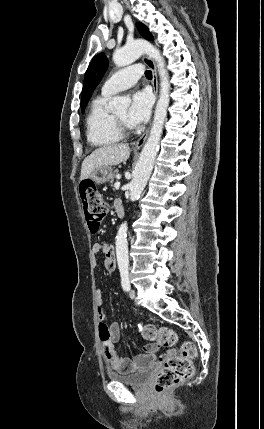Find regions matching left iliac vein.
I'll return each instance as SVG.
<instances>
[{
  "label": "left iliac vein",
  "mask_w": 264,
  "mask_h": 429,
  "mask_svg": "<svg viewBox=\"0 0 264 429\" xmlns=\"http://www.w3.org/2000/svg\"><path fill=\"white\" fill-rule=\"evenodd\" d=\"M129 296H130V298H131V299H134V298H135V296H136V292H135V290H134V289H131V290H130V292H129Z\"/></svg>",
  "instance_id": "obj_1"
}]
</instances>
